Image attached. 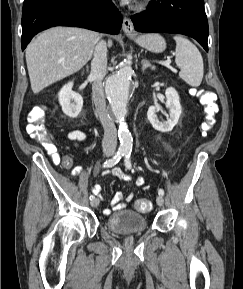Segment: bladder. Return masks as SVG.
<instances>
[{"mask_svg":"<svg viewBox=\"0 0 243 289\" xmlns=\"http://www.w3.org/2000/svg\"><path fill=\"white\" fill-rule=\"evenodd\" d=\"M106 227L119 234L141 232L147 228V219L138 212L124 209L110 214L106 219Z\"/></svg>","mask_w":243,"mask_h":289,"instance_id":"bladder-1","label":"bladder"}]
</instances>
